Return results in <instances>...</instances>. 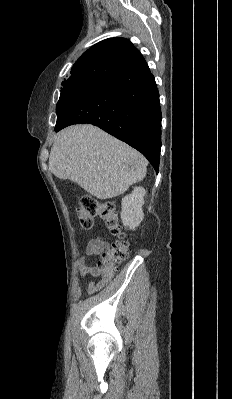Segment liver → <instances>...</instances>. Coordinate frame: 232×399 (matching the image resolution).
Returning a JSON list of instances; mask_svg holds the SVG:
<instances>
[{"label": "liver", "mask_w": 232, "mask_h": 399, "mask_svg": "<svg viewBox=\"0 0 232 399\" xmlns=\"http://www.w3.org/2000/svg\"><path fill=\"white\" fill-rule=\"evenodd\" d=\"M147 166L140 152L90 124L58 132L49 158L51 174L75 182L99 200L120 196L141 182Z\"/></svg>", "instance_id": "6515ba94"}]
</instances>
